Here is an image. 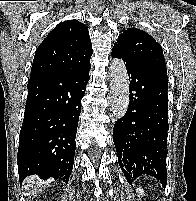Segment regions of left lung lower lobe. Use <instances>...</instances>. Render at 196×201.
Segmentation results:
<instances>
[{
    "label": "left lung lower lobe",
    "instance_id": "obj_1",
    "mask_svg": "<svg viewBox=\"0 0 196 201\" xmlns=\"http://www.w3.org/2000/svg\"><path fill=\"white\" fill-rule=\"evenodd\" d=\"M112 57L124 60L130 79L129 107L113 129L119 166L130 184L145 174L155 177L165 187L168 80L140 69L118 49L113 48Z\"/></svg>",
    "mask_w": 196,
    "mask_h": 201
}]
</instances>
